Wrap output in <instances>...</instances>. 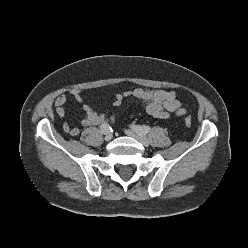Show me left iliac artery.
I'll use <instances>...</instances> for the list:
<instances>
[{
  "label": "left iliac artery",
  "mask_w": 248,
  "mask_h": 248,
  "mask_svg": "<svg viewBox=\"0 0 248 248\" xmlns=\"http://www.w3.org/2000/svg\"><path fill=\"white\" fill-rule=\"evenodd\" d=\"M133 129L136 132L143 134V135H146L151 130V128L149 126H145V125H142V126L136 125V126H133Z\"/></svg>",
  "instance_id": "1"
}]
</instances>
